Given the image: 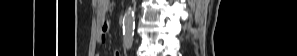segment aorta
<instances>
[{
  "label": "aorta",
  "mask_w": 297,
  "mask_h": 56,
  "mask_svg": "<svg viewBox=\"0 0 297 56\" xmlns=\"http://www.w3.org/2000/svg\"><path fill=\"white\" fill-rule=\"evenodd\" d=\"M134 30V12L129 8L123 18V31L126 35H132Z\"/></svg>",
  "instance_id": "obj_1"
}]
</instances>
